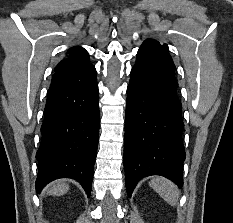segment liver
<instances>
[{
	"instance_id": "1",
	"label": "liver",
	"mask_w": 233,
	"mask_h": 223,
	"mask_svg": "<svg viewBox=\"0 0 233 223\" xmlns=\"http://www.w3.org/2000/svg\"><path fill=\"white\" fill-rule=\"evenodd\" d=\"M69 189V185L67 183H64V181H59V183H56V185H52V187H49L47 189L48 195H64V193H67Z\"/></svg>"
}]
</instances>
